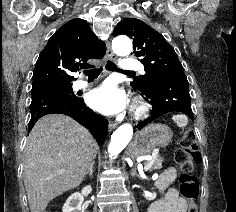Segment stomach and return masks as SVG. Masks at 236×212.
Returning a JSON list of instances; mask_svg holds the SVG:
<instances>
[{
	"mask_svg": "<svg viewBox=\"0 0 236 212\" xmlns=\"http://www.w3.org/2000/svg\"><path fill=\"white\" fill-rule=\"evenodd\" d=\"M172 136L173 133L168 126L159 123L151 124L135 135L128 153L132 158L147 155L155 147L167 146Z\"/></svg>",
	"mask_w": 236,
	"mask_h": 212,
	"instance_id": "1",
	"label": "stomach"
}]
</instances>
